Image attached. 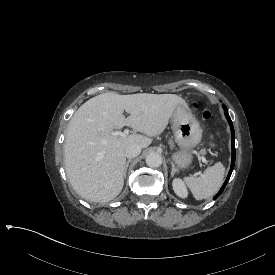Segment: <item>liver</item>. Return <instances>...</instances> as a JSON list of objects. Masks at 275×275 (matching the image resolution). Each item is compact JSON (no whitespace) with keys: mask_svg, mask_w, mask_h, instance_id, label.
Masks as SVG:
<instances>
[{"mask_svg":"<svg viewBox=\"0 0 275 275\" xmlns=\"http://www.w3.org/2000/svg\"><path fill=\"white\" fill-rule=\"evenodd\" d=\"M177 105L188 108L178 95L148 93H103L81 105L70 120L64 145L65 169L76 193L93 202L118 196L124 185L125 147H148L150 137L164 131ZM124 111L130 115L125 117ZM124 126L147 136L112 135L113 129Z\"/></svg>","mask_w":275,"mask_h":275,"instance_id":"liver-1","label":"liver"}]
</instances>
